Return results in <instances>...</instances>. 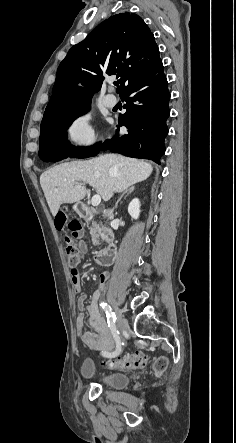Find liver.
Listing matches in <instances>:
<instances>
[{"label":"liver","mask_w":236,"mask_h":443,"mask_svg":"<svg viewBox=\"0 0 236 443\" xmlns=\"http://www.w3.org/2000/svg\"><path fill=\"white\" fill-rule=\"evenodd\" d=\"M152 170V165L144 160L104 154L50 168L40 176V185L52 215L56 216L61 204L79 202L86 196V187L76 186L79 181L92 185L108 201L114 193L146 180Z\"/></svg>","instance_id":"1"}]
</instances>
